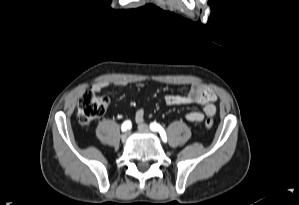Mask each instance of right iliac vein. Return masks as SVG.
Listing matches in <instances>:
<instances>
[{"label":"right iliac vein","instance_id":"1","mask_svg":"<svg viewBox=\"0 0 299 205\" xmlns=\"http://www.w3.org/2000/svg\"><path fill=\"white\" fill-rule=\"evenodd\" d=\"M129 136H130V132H129V131L125 132V133L121 136L122 141H123V142H126V141L128 140V138H129Z\"/></svg>","mask_w":299,"mask_h":205}]
</instances>
